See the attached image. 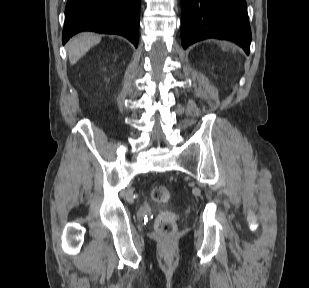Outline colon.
Segmentation results:
<instances>
[{
	"label": "colon",
	"mask_w": 309,
	"mask_h": 288,
	"mask_svg": "<svg viewBox=\"0 0 309 288\" xmlns=\"http://www.w3.org/2000/svg\"><path fill=\"white\" fill-rule=\"evenodd\" d=\"M171 191L167 186H156L152 191V198L158 202L168 201ZM157 232L165 237L171 236L176 231L175 215L171 212L161 213L156 220Z\"/></svg>",
	"instance_id": "5ec220e1"
}]
</instances>
